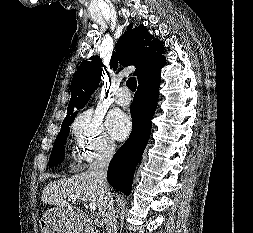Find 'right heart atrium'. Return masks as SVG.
Listing matches in <instances>:
<instances>
[{
  "label": "right heart atrium",
  "mask_w": 253,
  "mask_h": 233,
  "mask_svg": "<svg viewBox=\"0 0 253 233\" xmlns=\"http://www.w3.org/2000/svg\"><path fill=\"white\" fill-rule=\"evenodd\" d=\"M71 132L78 151L87 162L110 157L115 151V143L105 129L102 117L92 110L76 117Z\"/></svg>",
  "instance_id": "obj_1"
}]
</instances>
